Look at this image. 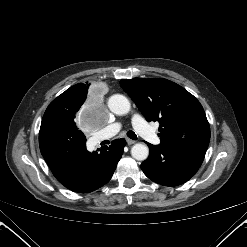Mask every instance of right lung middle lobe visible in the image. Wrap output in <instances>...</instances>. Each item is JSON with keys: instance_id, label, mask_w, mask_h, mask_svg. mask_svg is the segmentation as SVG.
I'll return each instance as SVG.
<instances>
[{"instance_id": "dd1d6c3e", "label": "right lung middle lobe", "mask_w": 247, "mask_h": 247, "mask_svg": "<svg viewBox=\"0 0 247 247\" xmlns=\"http://www.w3.org/2000/svg\"><path fill=\"white\" fill-rule=\"evenodd\" d=\"M81 102L71 94H61L54 99L45 111L44 117H55L75 123Z\"/></svg>"}]
</instances>
